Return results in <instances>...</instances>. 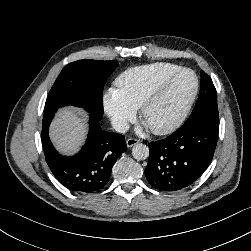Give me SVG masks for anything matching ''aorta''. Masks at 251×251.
I'll return each mask as SVG.
<instances>
[{
	"instance_id": "obj_1",
	"label": "aorta",
	"mask_w": 251,
	"mask_h": 251,
	"mask_svg": "<svg viewBox=\"0 0 251 251\" xmlns=\"http://www.w3.org/2000/svg\"><path fill=\"white\" fill-rule=\"evenodd\" d=\"M132 155L136 160H145L149 156V148L145 144L137 143L132 148Z\"/></svg>"
}]
</instances>
